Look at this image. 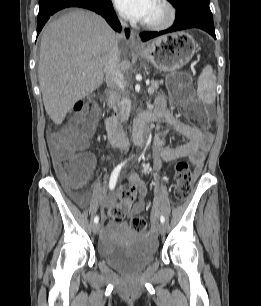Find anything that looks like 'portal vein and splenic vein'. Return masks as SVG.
Segmentation results:
<instances>
[{
  "instance_id": "obj_1",
  "label": "portal vein and splenic vein",
  "mask_w": 261,
  "mask_h": 306,
  "mask_svg": "<svg viewBox=\"0 0 261 306\" xmlns=\"http://www.w3.org/2000/svg\"><path fill=\"white\" fill-rule=\"evenodd\" d=\"M148 92H149V93H151V89H150V87H149V89H148Z\"/></svg>"
}]
</instances>
